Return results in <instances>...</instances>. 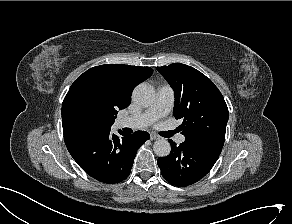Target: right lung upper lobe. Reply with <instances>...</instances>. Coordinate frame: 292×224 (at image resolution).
Returning a JSON list of instances; mask_svg holds the SVG:
<instances>
[{"mask_svg":"<svg viewBox=\"0 0 292 224\" xmlns=\"http://www.w3.org/2000/svg\"><path fill=\"white\" fill-rule=\"evenodd\" d=\"M152 73L153 69L150 67L100 65L84 72L72 86L87 85L96 88L118 113V110L129 106L133 89Z\"/></svg>","mask_w":292,"mask_h":224,"instance_id":"1","label":"right lung upper lobe"}]
</instances>
